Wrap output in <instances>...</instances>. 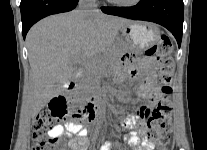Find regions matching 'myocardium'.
<instances>
[{
  "instance_id": "obj_1",
  "label": "myocardium",
  "mask_w": 207,
  "mask_h": 150,
  "mask_svg": "<svg viewBox=\"0 0 207 150\" xmlns=\"http://www.w3.org/2000/svg\"><path fill=\"white\" fill-rule=\"evenodd\" d=\"M109 3L122 8H130L137 6L142 0H130V1H118V0H107Z\"/></svg>"
}]
</instances>
